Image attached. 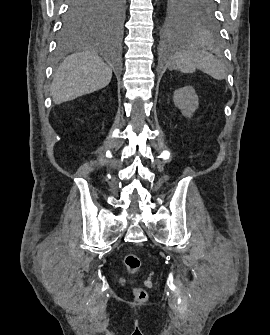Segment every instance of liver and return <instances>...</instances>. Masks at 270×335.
Here are the masks:
<instances>
[{"instance_id": "liver-1", "label": "liver", "mask_w": 270, "mask_h": 335, "mask_svg": "<svg viewBox=\"0 0 270 335\" xmlns=\"http://www.w3.org/2000/svg\"><path fill=\"white\" fill-rule=\"evenodd\" d=\"M112 70L104 64L96 52H78L60 64L50 92L54 104L75 100L108 86Z\"/></svg>"}]
</instances>
